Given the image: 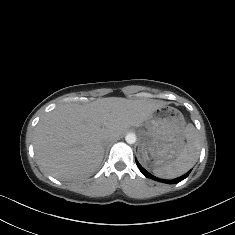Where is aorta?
Segmentation results:
<instances>
[{
	"mask_svg": "<svg viewBox=\"0 0 235 235\" xmlns=\"http://www.w3.org/2000/svg\"><path fill=\"white\" fill-rule=\"evenodd\" d=\"M125 140L128 144H134L136 142V135L134 133H129L126 135Z\"/></svg>",
	"mask_w": 235,
	"mask_h": 235,
	"instance_id": "1",
	"label": "aorta"
}]
</instances>
